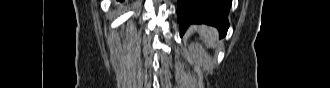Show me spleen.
<instances>
[{"label":"spleen","mask_w":330,"mask_h":88,"mask_svg":"<svg viewBox=\"0 0 330 88\" xmlns=\"http://www.w3.org/2000/svg\"><path fill=\"white\" fill-rule=\"evenodd\" d=\"M198 31L201 38L207 43L209 47L216 46L217 31L214 28L203 25L199 27Z\"/></svg>","instance_id":"1"}]
</instances>
